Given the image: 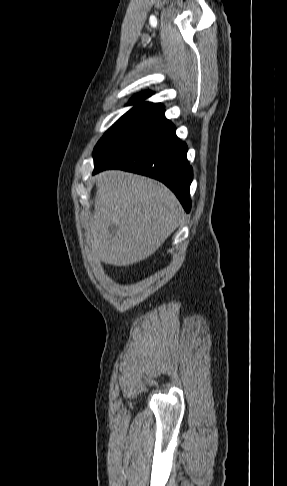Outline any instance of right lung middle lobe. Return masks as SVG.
<instances>
[{
    "mask_svg": "<svg viewBox=\"0 0 287 486\" xmlns=\"http://www.w3.org/2000/svg\"><path fill=\"white\" fill-rule=\"evenodd\" d=\"M166 120L164 110L134 107L104 134L94 148V163L118 151Z\"/></svg>",
    "mask_w": 287,
    "mask_h": 486,
    "instance_id": "obj_1",
    "label": "right lung middle lobe"
}]
</instances>
